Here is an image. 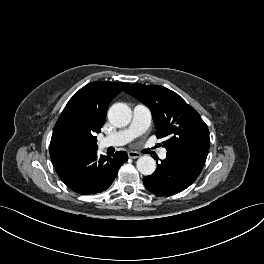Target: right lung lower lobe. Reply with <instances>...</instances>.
<instances>
[{
  "mask_svg": "<svg viewBox=\"0 0 264 264\" xmlns=\"http://www.w3.org/2000/svg\"><path fill=\"white\" fill-rule=\"evenodd\" d=\"M128 160L124 151L109 156L97 155V150L59 168L61 180L74 192L96 194L105 191L114 181L118 170Z\"/></svg>",
  "mask_w": 264,
  "mask_h": 264,
  "instance_id": "1",
  "label": "right lung lower lobe"
}]
</instances>
